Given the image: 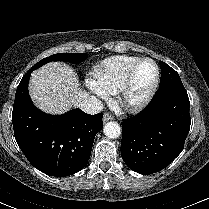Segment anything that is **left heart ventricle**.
<instances>
[{"label": "left heart ventricle", "instance_id": "obj_1", "mask_svg": "<svg viewBox=\"0 0 209 209\" xmlns=\"http://www.w3.org/2000/svg\"><path fill=\"white\" fill-rule=\"evenodd\" d=\"M155 79V67L151 62H143L136 69L128 93L130 101H139L150 90Z\"/></svg>", "mask_w": 209, "mask_h": 209}]
</instances>
